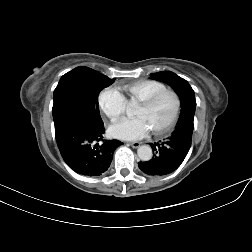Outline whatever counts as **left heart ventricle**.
Masks as SVG:
<instances>
[{"label":"left heart ventricle","instance_id":"left-heart-ventricle-1","mask_svg":"<svg viewBox=\"0 0 252 252\" xmlns=\"http://www.w3.org/2000/svg\"><path fill=\"white\" fill-rule=\"evenodd\" d=\"M175 109V98L167 93L159 97L150 107L139 105L135 116L145 120L150 131L163 128L170 120Z\"/></svg>","mask_w":252,"mask_h":252}]
</instances>
